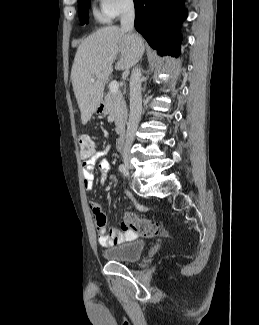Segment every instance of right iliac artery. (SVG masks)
Segmentation results:
<instances>
[{
    "mask_svg": "<svg viewBox=\"0 0 259 325\" xmlns=\"http://www.w3.org/2000/svg\"><path fill=\"white\" fill-rule=\"evenodd\" d=\"M124 164H121L120 166H119V170H120V172L124 169Z\"/></svg>",
    "mask_w": 259,
    "mask_h": 325,
    "instance_id": "82829eb1",
    "label": "right iliac artery"
}]
</instances>
